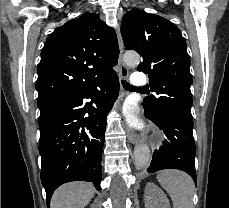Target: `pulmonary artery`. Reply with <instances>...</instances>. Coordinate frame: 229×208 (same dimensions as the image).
<instances>
[{"label":"pulmonary artery","mask_w":229,"mask_h":208,"mask_svg":"<svg viewBox=\"0 0 229 208\" xmlns=\"http://www.w3.org/2000/svg\"><path fill=\"white\" fill-rule=\"evenodd\" d=\"M134 76L135 77H145L146 73L145 72H135ZM135 77L132 79L133 87H142V86H145V83L148 82L147 78H135Z\"/></svg>","instance_id":"obj_1"}]
</instances>
